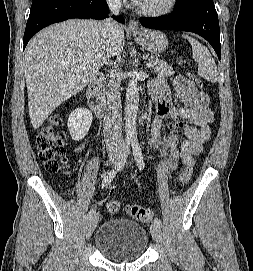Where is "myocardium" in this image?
I'll list each match as a JSON object with an SVG mask.
<instances>
[{"label":"myocardium","mask_w":253,"mask_h":271,"mask_svg":"<svg viewBox=\"0 0 253 271\" xmlns=\"http://www.w3.org/2000/svg\"><path fill=\"white\" fill-rule=\"evenodd\" d=\"M177 2L178 0H167L164 6L159 7V8H154V9L143 8V7H140L138 4H135V8H136V11L143 16L162 17L171 13L175 9Z\"/></svg>","instance_id":"f54148a6"}]
</instances>
